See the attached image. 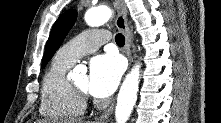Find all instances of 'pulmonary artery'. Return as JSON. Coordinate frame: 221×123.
Instances as JSON below:
<instances>
[{
  "label": "pulmonary artery",
  "instance_id": "obj_1",
  "mask_svg": "<svg viewBox=\"0 0 221 123\" xmlns=\"http://www.w3.org/2000/svg\"><path fill=\"white\" fill-rule=\"evenodd\" d=\"M108 40L109 35L105 30H88L65 44L57 56L73 64L78 58L96 51Z\"/></svg>",
  "mask_w": 221,
  "mask_h": 123
}]
</instances>
